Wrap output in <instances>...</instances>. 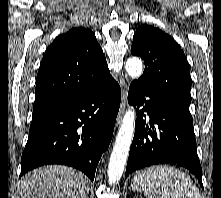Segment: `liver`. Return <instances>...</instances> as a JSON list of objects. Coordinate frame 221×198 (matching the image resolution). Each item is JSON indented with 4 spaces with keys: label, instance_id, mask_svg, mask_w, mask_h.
Segmentation results:
<instances>
[{
    "label": "liver",
    "instance_id": "6515ba94",
    "mask_svg": "<svg viewBox=\"0 0 221 198\" xmlns=\"http://www.w3.org/2000/svg\"><path fill=\"white\" fill-rule=\"evenodd\" d=\"M89 180L67 166L48 165L25 175L13 198H88Z\"/></svg>",
    "mask_w": 221,
    "mask_h": 198
}]
</instances>
